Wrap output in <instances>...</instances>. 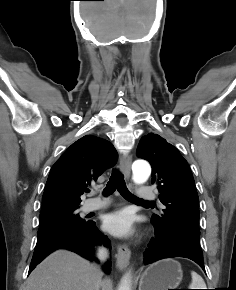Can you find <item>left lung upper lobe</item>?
<instances>
[{
    "label": "left lung upper lobe",
    "instance_id": "5c2ea615",
    "mask_svg": "<svg viewBox=\"0 0 236 290\" xmlns=\"http://www.w3.org/2000/svg\"><path fill=\"white\" fill-rule=\"evenodd\" d=\"M137 155L151 164V183L157 185L166 206L162 216L152 215L151 223L200 239L199 198L187 161L176 147L153 133L141 138Z\"/></svg>",
    "mask_w": 236,
    "mask_h": 290
}]
</instances>
